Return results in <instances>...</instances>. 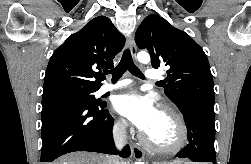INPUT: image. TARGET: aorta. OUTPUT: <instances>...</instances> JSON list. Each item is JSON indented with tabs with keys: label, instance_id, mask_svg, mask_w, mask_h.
<instances>
[{
	"label": "aorta",
	"instance_id": "762f6f07",
	"mask_svg": "<svg viewBox=\"0 0 251 164\" xmlns=\"http://www.w3.org/2000/svg\"><path fill=\"white\" fill-rule=\"evenodd\" d=\"M137 59L139 62L147 64L150 61V56L147 52L141 51L137 54ZM137 164H143V163H137Z\"/></svg>",
	"mask_w": 251,
	"mask_h": 164
}]
</instances>
